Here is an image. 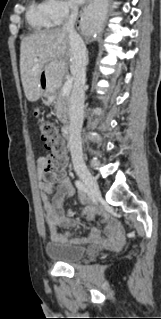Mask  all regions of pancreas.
<instances>
[{"instance_id":"1","label":"pancreas","mask_w":161,"mask_h":319,"mask_svg":"<svg viewBox=\"0 0 161 319\" xmlns=\"http://www.w3.org/2000/svg\"><path fill=\"white\" fill-rule=\"evenodd\" d=\"M51 98H54V111L57 116V118L63 123L67 124L68 122V105H69V97L66 95H63V93L60 91L53 95Z\"/></svg>"}]
</instances>
